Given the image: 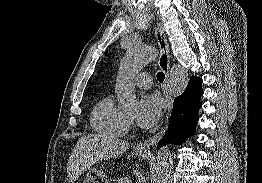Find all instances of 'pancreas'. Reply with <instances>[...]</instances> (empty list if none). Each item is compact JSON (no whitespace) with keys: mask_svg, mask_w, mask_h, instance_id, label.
Returning a JSON list of instances; mask_svg holds the SVG:
<instances>
[{"mask_svg":"<svg viewBox=\"0 0 262 183\" xmlns=\"http://www.w3.org/2000/svg\"><path fill=\"white\" fill-rule=\"evenodd\" d=\"M117 183H131V178L129 176L119 178Z\"/></svg>","mask_w":262,"mask_h":183,"instance_id":"obj_1","label":"pancreas"}]
</instances>
